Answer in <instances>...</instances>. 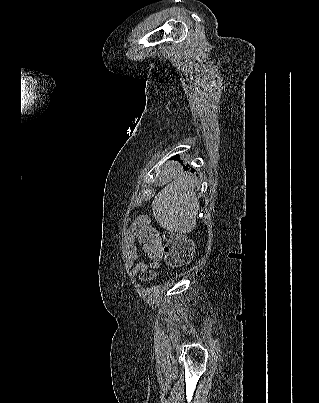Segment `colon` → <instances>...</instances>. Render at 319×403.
<instances>
[{
    "label": "colon",
    "instance_id": "obj_1",
    "mask_svg": "<svg viewBox=\"0 0 319 403\" xmlns=\"http://www.w3.org/2000/svg\"><path fill=\"white\" fill-rule=\"evenodd\" d=\"M134 231L138 248H145L153 262L164 255L170 267H180L189 264L194 256V243L179 233L165 232L160 235L150 224L146 217H138L134 223ZM142 278L149 280L152 274L147 272Z\"/></svg>",
    "mask_w": 319,
    "mask_h": 403
}]
</instances>
